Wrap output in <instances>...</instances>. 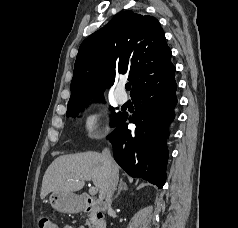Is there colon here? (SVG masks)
<instances>
[{"mask_svg": "<svg viewBox=\"0 0 238 228\" xmlns=\"http://www.w3.org/2000/svg\"><path fill=\"white\" fill-rule=\"evenodd\" d=\"M38 228H57L56 224L46 215H41L37 218Z\"/></svg>", "mask_w": 238, "mask_h": 228, "instance_id": "1", "label": "colon"}]
</instances>
